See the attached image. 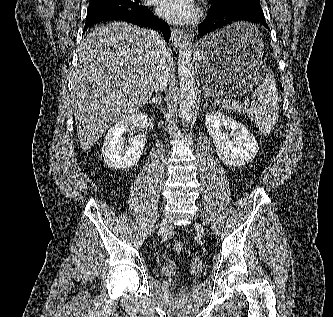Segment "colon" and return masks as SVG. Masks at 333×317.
<instances>
[{"label":"colon","instance_id":"colon-1","mask_svg":"<svg viewBox=\"0 0 333 317\" xmlns=\"http://www.w3.org/2000/svg\"><path fill=\"white\" fill-rule=\"evenodd\" d=\"M173 249L177 253H182L185 250V245L183 242H176L173 246Z\"/></svg>","mask_w":333,"mask_h":317}]
</instances>
